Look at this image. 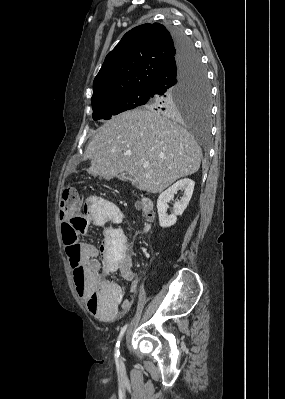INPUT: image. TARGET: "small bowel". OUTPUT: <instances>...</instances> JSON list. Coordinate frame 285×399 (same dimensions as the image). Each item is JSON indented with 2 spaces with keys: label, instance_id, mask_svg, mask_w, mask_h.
Masks as SVG:
<instances>
[{
  "label": "small bowel",
  "instance_id": "obj_1",
  "mask_svg": "<svg viewBox=\"0 0 285 399\" xmlns=\"http://www.w3.org/2000/svg\"><path fill=\"white\" fill-rule=\"evenodd\" d=\"M110 211V206L100 197H90L82 204L86 226L81 228V233L87 231L88 227H103L105 241L100 247L89 242L79 244V264L84 268V277L82 289L78 293L86 300L90 312L105 321L125 314L132 306L131 300L123 299L120 285L110 279L112 271L118 269L123 279L130 284L132 293L137 289L131 257L117 259L120 244V230L117 226L120 217L114 212L108 220Z\"/></svg>",
  "mask_w": 285,
  "mask_h": 399
}]
</instances>
